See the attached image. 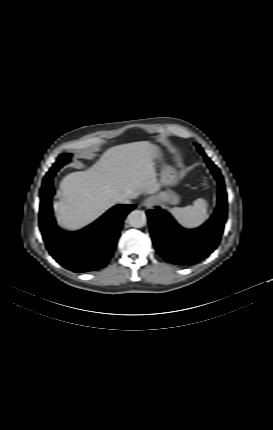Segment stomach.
<instances>
[{"instance_id": "1", "label": "stomach", "mask_w": 273, "mask_h": 430, "mask_svg": "<svg viewBox=\"0 0 273 430\" xmlns=\"http://www.w3.org/2000/svg\"><path fill=\"white\" fill-rule=\"evenodd\" d=\"M153 160H159L161 158L160 150L153 146L152 148ZM160 182L165 186H174L178 182L176 171L173 167L164 165L161 169ZM156 202L162 204L175 205L179 202V197L171 190L160 192L154 196Z\"/></svg>"}]
</instances>
